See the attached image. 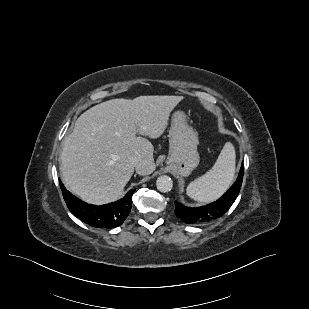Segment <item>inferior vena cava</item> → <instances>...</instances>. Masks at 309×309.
I'll return each instance as SVG.
<instances>
[{
	"label": "inferior vena cava",
	"instance_id": "inferior-vena-cava-1",
	"mask_svg": "<svg viewBox=\"0 0 309 309\" xmlns=\"http://www.w3.org/2000/svg\"><path fill=\"white\" fill-rule=\"evenodd\" d=\"M131 162L134 165L136 171L138 172L140 167H141V163H140V160L138 159V157H132Z\"/></svg>",
	"mask_w": 309,
	"mask_h": 309
}]
</instances>
